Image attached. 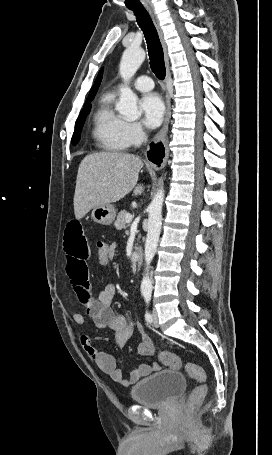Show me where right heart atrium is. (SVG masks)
Instances as JSON below:
<instances>
[{"label":"right heart atrium","mask_w":272,"mask_h":455,"mask_svg":"<svg viewBox=\"0 0 272 455\" xmlns=\"http://www.w3.org/2000/svg\"><path fill=\"white\" fill-rule=\"evenodd\" d=\"M124 132L129 146H138L146 139V132L138 122H126Z\"/></svg>","instance_id":"1"}]
</instances>
